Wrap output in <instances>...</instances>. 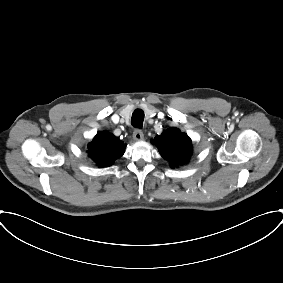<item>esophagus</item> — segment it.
Wrapping results in <instances>:
<instances>
[{"label": "esophagus", "mask_w": 283, "mask_h": 283, "mask_svg": "<svg viewBox=\"0 0 283 283\" xmlns=\"http://www.w3.org/2000/svg\"><path fill=\"white\" fill-rule=\"evenodd\" d=\"M133 138L134 140H142L144 138V134L142 132V130L140 129H135L134 132H133Z\"/></svg>", "instance_id": "obj_1"}]
</instances>
